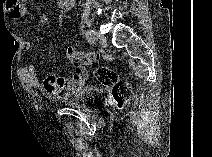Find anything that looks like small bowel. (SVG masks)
<instances>
[{
	"label": "small bowel",
	"mask_w": 212,
	"mask_h": 157,
	"mask_svg": "<svg viewBox=\"0 0 212 157\" xmlns=\"http://www.w3.org/2000/svg\"><path fill=\"white\" fill-rule=\"evenodd\" d=\"M75 5V0H61L60 6L66 13L72 11ZM8 16L17 20L26 13V5L19 0H8L5 3ZM31 49V43L26 41L23 43V51L27 52ZM21 75L30 88L41 89L49 97H57L64 92L76 90L83 86L84 83H79L73 77L49 76L45 80H40L38 72L34 65H29L21 69Z\"/></svg>",
	"instance_id": "1"
}]
</instances>
